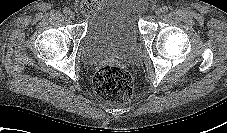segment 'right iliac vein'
Masks as SVG:
<instances>
[{
    "label": "right iliac vein",
    "instance_id": "obj_1",
    "mask_svg": "<svg viewBox=\"0 0 227 133\" xmlns=\"http://www.w3.org/2000/svg\"><path fill=\"white\" fill-rule=\"evenodd\" d=\"M69 17H70L71 19H74V18H75V13H74V12H70V13H69Z\"/></svg>",
    "mask_w": 227,
    "mask_h": 133
}]
</instances>
